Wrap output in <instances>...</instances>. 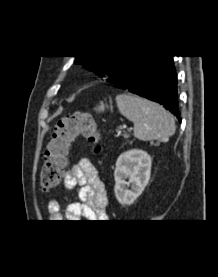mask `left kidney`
Listing matches in <instances>:
<instances>
[{
  "mask_svg": "<svg viewBox=\"0 0 218 277\" xmlns=\"http://www.w3.org/2000/svg\"><path fill=\"white\" fill-rule=\"evenodd\" d=\"M151 164V156L143 150H129L118 157L114 192L120 204L130 205L140 196L149 182ZM130 184L131 190L128 189Z\"/></svg>",
  "mask_w": 218,
  "mask_h": 277,
  "instance_id": "obj_1",
  "label": "left kidney"
}]
</instances>
